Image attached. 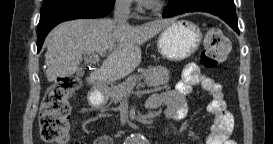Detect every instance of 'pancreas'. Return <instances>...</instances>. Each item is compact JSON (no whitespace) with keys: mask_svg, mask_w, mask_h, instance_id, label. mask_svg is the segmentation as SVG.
Masks as SVG:
<instances>
[{"mask_svg":"<svg viewBox=\"0 0 273 144\" xmlns=\"http://www.w3.org/2000/svg\"><path fill=\"white\" fill-rule=\"evenodd\" d=\"M150 87L165 85L169 82V70L163 66L148 67L140 74L130 76L125 82L118 84L111 91V101L121 103L129 96L136 84L142 79ZM140 85V83H138Z\"/></svg>","mask_w":273,"mask_h":144,"instance_id":"1","label":"pancreas"}]
</instances>
